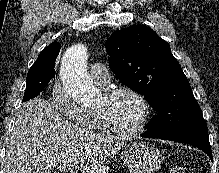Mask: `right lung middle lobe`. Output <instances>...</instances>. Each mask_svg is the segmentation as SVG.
I'll list each match as a JSON object with an SVG mask.
<instances>
[{"instance_id": "obj_1", "label": "right lung middle lobe", "mask_w": 219, "mask_h": 173, "mask_svg": "<svg viewBox=\"0 0 219 173\" xmlns=\"http://www.w3.org/2000/svg\"><path fill=\"white\" fill-rule=\"evenodd\" d=\"M55 75L45 73L40 68L31 67L26 78V90L23 101L36 97L44 88L50 84Z\"/></svg>"}]
</instances>
